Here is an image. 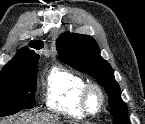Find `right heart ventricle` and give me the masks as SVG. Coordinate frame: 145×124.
<instances>
[{"mask_svg":"<svg viewBox=\"0 0 145 124\" xmlns=\"http://www.w3.org/2000/svg\"><path fill=\"white\" fill-rule=\"evenodd\" d=\"M87 84L82 75L66 68L54 67L46 76V106L71 118H83L85 113L81 107V94Z\"/></svg>","mask_w":145,"mask_h":124,"instance_id":"1","label":"right heart ventricle"}]
</instances>
